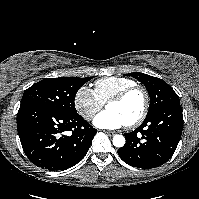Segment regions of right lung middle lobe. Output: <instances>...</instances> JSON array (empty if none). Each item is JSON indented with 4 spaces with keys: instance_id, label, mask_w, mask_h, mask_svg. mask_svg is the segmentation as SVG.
Here are the masks:
<instances>
[{
    "instance_id": "right-lung-middle-lobe-1",
    "label": "right lung middle lobe",
    "mask_w": 199,
    "mask_h": 199,
    "mask_svg": "<svg viewBox=\"0 0 199 199\" xmlns=\"http://www.w3.org/2000/svg\"><path fill=\"white\" fill-rule=\"evenodd\" d=\"M91 78L58 77L41 80L25 90L20 108L41 106L65 115L77 114L75 95Z\"/></svg>"
}]
</instances>
